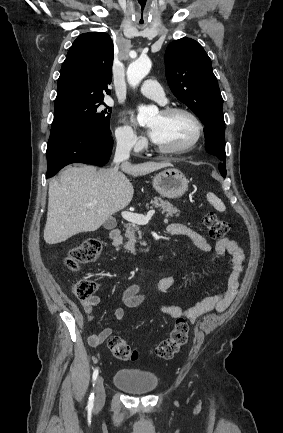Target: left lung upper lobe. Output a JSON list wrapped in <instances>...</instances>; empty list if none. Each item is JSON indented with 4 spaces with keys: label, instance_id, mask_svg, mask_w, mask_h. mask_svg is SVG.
<instances>
[{
    "label": "left lung upper lobe",
    "instance_id": "5c2ea615",
    "mask_svg": "<svg viewBox=\"0 0 283 433\" xmlns=\"http://www.w3.org/2000/svg\"><path fill=\"white\" fill-rule=\"evenodd\" d=\"M165 72L173 94L205 125V142L225 145L223 99L203 47L191 38L171 42L165 52Z\"/></svg>",
    "mask_w": 283,
    "mask_h": 433
}]
</instances>
